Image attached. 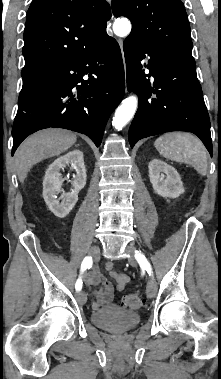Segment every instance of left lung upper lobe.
I'll use <instances>...</instances> for the list:
<instances>
[{
	"mask_svg": "<svg viewBox=\"0 0 221 379\" xmlns=\"http://www.w3.org/2000/svg\"><path fill=\"white\" fill-rule=\"evenodd\" d=\"M114 16H125L132 31L172 58L195 63L187 14L181 0H112Z\"/></svg>",
	"mask_w": 221,
	"mask_h": 379,
	"instance_id": "obj_1",
	"label": "left lung upper lobe"
}]
</instances>
